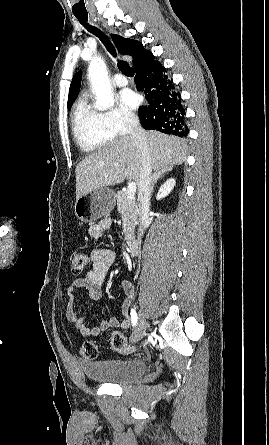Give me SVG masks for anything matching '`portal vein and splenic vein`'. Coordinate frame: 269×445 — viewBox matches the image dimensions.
I'll return each mask as SVG.
<instances>
[{
	"label": "portal vein and splenic vein",
	"instance_id": "portal-vein-and-splenic-vein-1",
	"mask_svg": "<svg viewBox=\"0 0 269 445\" xmlns=\"http://www.w3.org/2000/svg\"><path fill=\"white\" fill-rule=\"evenodd\" d=\"M127 198L128 199H132L134 198V195L136 193V183L135 182H130L128 184V188H127Z\"/></svg>",
	"mask_w": 269,
	"mask_h": 445
}]
</instances>
